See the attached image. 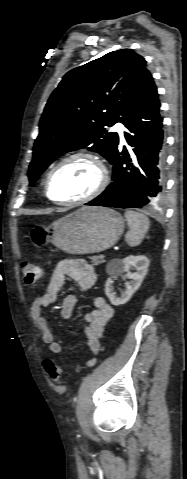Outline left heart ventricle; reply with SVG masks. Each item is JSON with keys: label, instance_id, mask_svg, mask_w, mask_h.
Instances as JSON below:
<instances>
[{"label": "left heart ventricle", "instance_id": "obj_1", "mask_svg": "<svg viewBox=\"0 0 187 479\" xmlns=\"http://www.w3.org/2000/svg\"><path fill=\"white\" fill-rule=\"evenodd\" d=\"M98 176V169L90 160H72L53 175L49 186L50 195L58 201L81 198L95 188Z\"/></svg>", "mask_w": 187, "mask_h": 479}]
</instances>
